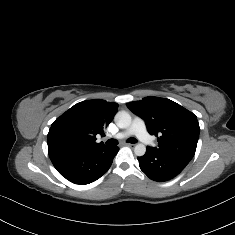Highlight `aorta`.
<instances>
[{"label": "aorta", "instance_id": "obj_1", "mask_svg": "<svg viewBox=\"0 0 235 235\" xmlns=\"http://www.w3.org/2000/svg\"><path fill=\"white\" fill-rule=\"evenodd\" d=\"M114 121L119 128H127L131 125L132 118L126 111H119L114 117ZM146 152L144 144H137L134 148V153L137 156H143Z\"/></svg>", "mask_w": 235, "mask_h": 235}]
</instances>
